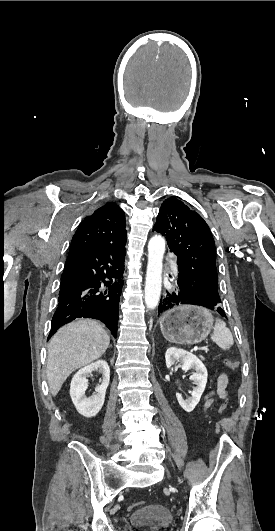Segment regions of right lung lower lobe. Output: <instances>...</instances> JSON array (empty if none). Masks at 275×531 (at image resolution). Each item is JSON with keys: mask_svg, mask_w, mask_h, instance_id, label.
I'll return each instance as SVG.
<instances>
[{"mask_svg": "<svg viewBox=\"0 0 275 531\" xmlns=\"http://www.w3.org/2000/svg\"><path fill=\"white\" fill-rule=\"evenodd\" d=\"M125 244L68 255L48 339L62 325L82 317L102 321L116 337Z\"/></svg>", "mask_w": 275, "mask_h": 531, "instance_id": "obj_1", "label": "right lung lower lobe"}]
</instances>
